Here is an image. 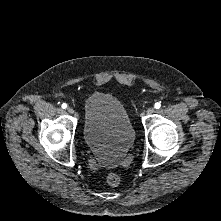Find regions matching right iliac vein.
<instances>
[{"instance_id": "63e3f726", "label": "right iliac vein", "mask_w": 221, "mask_h": 221, "mask_svg": "<svg viewBox=\"0 0 221 221\" xmlns=\"http://www.w3.org/2000/svg\"><path fill=\"white\" fill-rule=\"evenodd\" d=\"M67 112H68L69 114H73V113H74V109L71 108V107H68V108H67Z\"/></svg>"}]
</instances>
